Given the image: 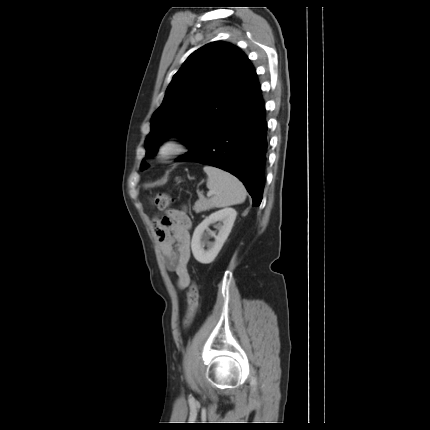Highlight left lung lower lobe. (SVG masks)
I'll return each instance as SVG.
<instances>
[{"instance_id":"left-lung-lower-lobe-1","label":"left lung lower lobe","mask_w":430,"mask_h":430,"mask_svg":"<svg viewBox=\"0 0 430 430\" xmlns=\"http://www.w3.org/2000/svg\"><path fill=\"white\" fill-rule=\"evenodd\" d=\"M211 122L198 130L189 152L176 161L198 162L228 171L243 182L253 199L252 206L260 205L268 147L260 86L222 120Z\"/></svg>"}]
</instances>
